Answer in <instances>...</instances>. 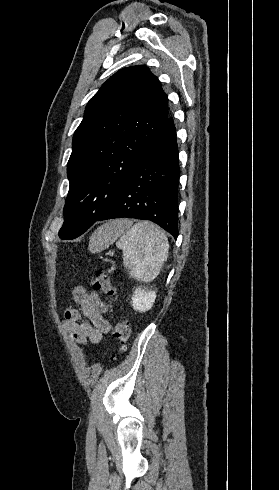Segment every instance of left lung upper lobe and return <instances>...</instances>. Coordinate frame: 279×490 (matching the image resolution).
Segmentation results:
<instances>
[{
  "instance_id": "left-lung-upper-lobe-1",
  "label": "left lung upper lobe",
  "mask_w": 279,
  "mask_h": 490,
  "mask_svg": "<svg viewBox=\"0 0 279 490\" xmlns=\"http://www.w3.org/2000/svg\"><path fill=\"white\" fill-rule=\"evenodd\" d=\"M167 102L144 66L119 70L92 97L73 136L61 239L82 235L110 208L141 151L170 117Z\"/></svg>"
}]
</instances>
